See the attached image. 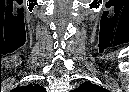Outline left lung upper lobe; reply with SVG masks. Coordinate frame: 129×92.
Listing matches in <instances>:
<instances>
[{"label": "left lung upper lobe", "mask_w": 129, "mask_h": 92, "mask_svg": "<svg viewBox=\"0 0 129 92\" xmlns=\"http://www.w3.org/2000/svg\"><path fill=\"white\" fill-rule=\"evenodd\" d=\"M75 92H108V90L98 85L92 84L91 82H85L81 84Z\"/></svg>", "instance_id": "left-lung-upper-lobe-1"}]
</instances>
